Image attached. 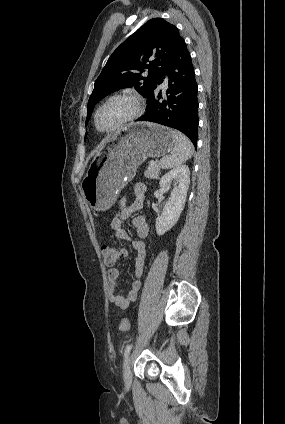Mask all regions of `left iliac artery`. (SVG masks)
<instances>
[{
    "label": "left iliac artery",
    "instance_id": "obj_1",
    "mask_svg": "<svg viewBox=\"0 0 285 424\" xmlns=\"http://www.w3.org/2000/svg\"><path fill=\"white\" fill-rule=\"evenodd\" d=\"M132 348V344H129L126 346L125 351H124V357L127 358L128 354L130 353V350Z\"/></svg>",
    "mask_w": 285,
    "mask_h": 424
}]
</instances>
